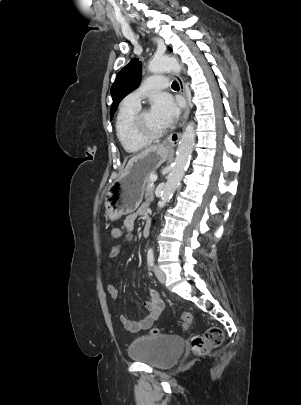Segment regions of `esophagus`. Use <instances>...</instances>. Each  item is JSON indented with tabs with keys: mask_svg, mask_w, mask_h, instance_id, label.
Wrapping results in <instances>:
<instances>
[{
	"mask_svg": "<svg viewBox=\"0 0 301 405\" xmlns=\"http://www.w3.org/2000/svg\"><path fill=\"white\" fill-rule=\"evenodd\" d=\"M175 78L179 84L180 92L185 99V110L180 120V126L183 128L189 115V98L187 96L186 87L182 77L179 74H176ZM180 137H181L180 132L172 133L165 139L163 145L169 148L175 147L178 144Z\"/></svg>",
	"mask_w": 301,
	"mask_h": 405,
	"instance_id": "obj_1",
	"label": "esophagus"
}]
</instances>
